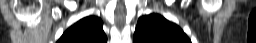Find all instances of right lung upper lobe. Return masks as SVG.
<instances>
[{
    "mask_svg": "<svg viewBox=\"0 0 256 43\" xmlns=\"http://www.w3.org/2000/svg\"><path fill=\"white\" fill-rule=\"evenodd\" d=\"M57 43H107L102 21L95 16L81 19L71 26Z\"/></svg>",
    "mask_w": 256,
    "mask_h": 43,
    "instance_id": "cb5924a9",
    "label": "right lung upper lobe"
}]
</instances>
